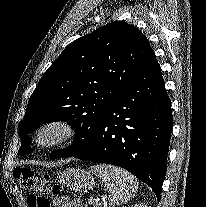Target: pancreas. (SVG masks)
<instances>
[{
  "label": "pancreas",
  "mask_w": 206,
  "mask_h": 207,
  "mask_svg": "<svg viewBox=\"0 0 206 207\" xmlns=\"http://www.w3.org/2000/svg\"><path fill=\"white\" fill-rule=\"evenodd\" d=\"M90 204H93V205H94V207H98V205H97V204H95V203H94V201H90Z\"/></svg>",
  "instance_id": "obj_1"
}]
</instances>
